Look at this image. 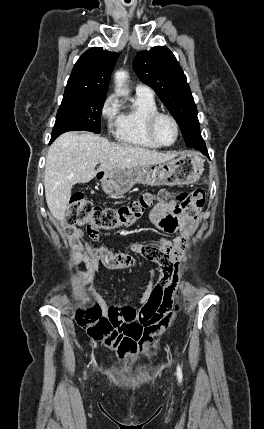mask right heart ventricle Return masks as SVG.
Instances as JSON below:
<instances>
[{"instance_id": "e07e8e85", "label": "right heart ventricle", "mask_w": 264, "mask_h": 429, "mask_svg": "<svg viewBox=\"0 0 264 429\" xmlns=\"http://www.w3.org/2000/svg\"><path fill=\"white\" fill-rule=\"evenodd\" d=\"M158 111L157 103L152 95L136 94L132 106L119 113L115 126V138L126 145L157 149L146 133L147 118Z\"/></svg>"}]
</instances>
